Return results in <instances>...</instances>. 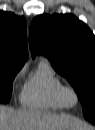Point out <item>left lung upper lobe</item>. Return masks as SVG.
I'll return each mask as SVG.
<instances>
[{"label": "left lung upper lobe", "mask_w": 95, "mask_h": 130, "mask_svg": "<svg viewBox=\"0 0 95 130\" xmlns=\"http://www.w3.org/2000/svg\"><path fill=\"white\" fill-rule=\"evenodd\" d=\"M32 56L45 55L78 94L85 118L95 120V37L72 14L40 15L30 26Z\"/></svg>", "instance_id": "1"}]
</instances>
